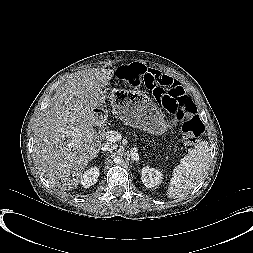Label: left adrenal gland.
Here are the masks:
<instances>
[{
	"mask_svg": "<svg viewBox=\"0 0 253 253\" xmlns=\"http://www.w3.org/2000/svg\"><path fill=\"white\" fill-rule=\"evenodd\" d=\"M131 160L134 161L133 157H131Z\"/></svg>",
	"mask_w": 253,
	"mask_h": 253,
	"instance_id": "left-adrenal-gland-1",
	"label": "left adrenal gland"
}]
</instances>
